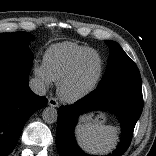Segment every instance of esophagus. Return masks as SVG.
I'll list each match as a JSON object with an SVG mask.
<instances>
[{
	"mask_svg": "<svg viewBox=\"0 0 156 156\" xmlns=\"http://www.w3.org/2000/svg\"><path fill=\"white\" fill-rule=\"evenodd\" d=\"M48 105H50L51 107H58L59 106L57 99L54 97H51L48 99Z\"/></svg>",
	"mask_w": 156,
	"mask_h": 156,
	"instance_id": "34e87169",
	"label": "esophagus"
}]
</instances>
